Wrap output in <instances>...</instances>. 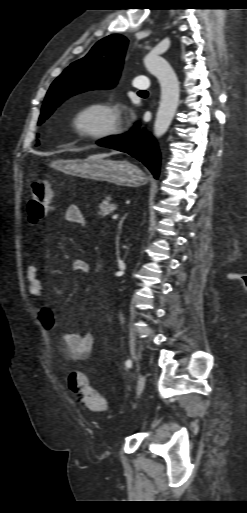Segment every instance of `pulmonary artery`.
Returning a JSON list of instances; mask_svg holds the SVG:
<instances>
[{
  "mask_svg": "<svg viewBox=\"0 0 247 513\" xmlns=\"http://www.w3.org/2000/svg\"><path fill=\"white\" fill-rule=\"evenodd\" d=\"M133 85L138 90H145L149 87V81L145 76H139L136 78Z\"/></svg>",
  "mask_w": 247,
  "mask_h": 513,
  "instance_id": "1",
  "label": "pulmonary artery"
}]
</instances>
